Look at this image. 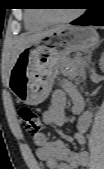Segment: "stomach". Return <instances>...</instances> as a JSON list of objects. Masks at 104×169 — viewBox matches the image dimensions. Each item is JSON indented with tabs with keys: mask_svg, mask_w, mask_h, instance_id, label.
Here are the masks:
<instances>
[{
	"mask_svg": "<svg viewBox=\"0 0 104 169\" xmlns=\"http://www.w3.org/2000/svg\"><path fill=\"white\" fill-rule=\"evenodd\" d=\"M91 27L66 26L23 49L9 73V88L19 102L37 105L50 94L62 63L71 52L98 44Z\"/></svg>",
	"mask_w": 104,
	"mask_h": 169,
	"instance_id": "0dacf381",
	"label": "stomach"
}]
</instances>
